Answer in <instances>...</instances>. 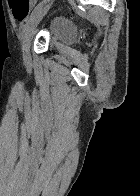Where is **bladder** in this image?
<instances>
[{
    "mask_svg": "<svg viewBox=\"0 0 140 196\" xmlns=\"http://www.w3.org/2000/svg\"><path fill=\"white\" fill-rule=\"evenodd\" d=\"M51 39L56 44L70 46L75 43L76 28L73 20L67 15L53 17L48 25Z\"/></svg>",
    "mask_w": 140,
    "mask_h": 196,
    "instance_id": "bladder-1",
    "label": "bladder"
}]
</instances>
